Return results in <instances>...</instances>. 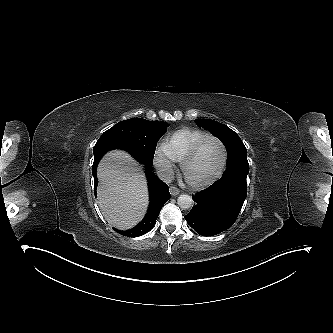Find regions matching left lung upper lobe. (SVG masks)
Here are the masks:
<instances>
[{
    "mask_svg": "<svg viewBox=\"0 0 333 333\" xmlns=\"http://www.w3.org/2000/svg\"><path fill=\"white\" fill-rule=\"evenodd\" d=\"M196 124L209 130L214 136L219 138L227 149V165L221 179L229 182L231 180L246 181L249 173L247 161V149L240 137L226 125L210 119H196Z\"/></svg>",
    "mask_w": 333,
    "mask_h": 333,
    "instance_id": "5c2ea615",
    "label": "left lung upper lobe"
}]
</instances>
